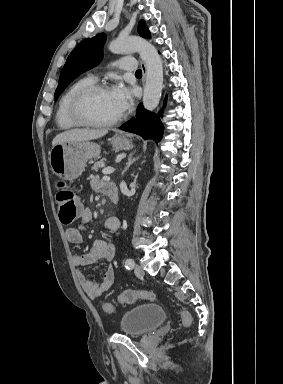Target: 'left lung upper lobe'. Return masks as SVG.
<instances>
[{
    "mask_svg": "<svg viewBox=\"0 0 283 384\" xmlns=\"http://www.w3.org/2000/svg\"><path fill=\"white\" fill-rule=\"evenodd\" d=\"M138 33L144 38H150V32L144 21H140ZM105 41L106 35L99 33L92 38L82 41L70 53L60 73L58 87L55 91V100L70 82L100 62L102 58V46Z\"/></svg>",
    "mask_w": 283,
    "mask_h": 384,
    "instance_id": "1",
    "label": "left lung upper lobe"
}]
</instances>
